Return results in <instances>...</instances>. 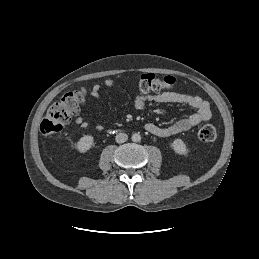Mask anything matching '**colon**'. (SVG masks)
Wrapping results in <instances>:
<instances>
[{
  "label": "colon",
  "mask_w": 259,
  "mask_h": 259,
  "mask_svg": "<svg viewBox=\"0 0 259 259\" xmlns=\"http://www.w3.org/2000/svg\"><path fill=\"white\" fill-rule=\"evenodd\" d=\"M175 85V77L157 78L153 74L142 75L137 84L138 89L145 94L172 89ZM85 98L86 90L84 88L66 93L49 107L40 124V131L48 136L61 133L70 120L79 114ZM198 137L204 142L213 141L216 138V129L210 124L204 125L199 129Z\"/></svg>",
  "instance_id": "5ec220e1"
}]
</instances>
